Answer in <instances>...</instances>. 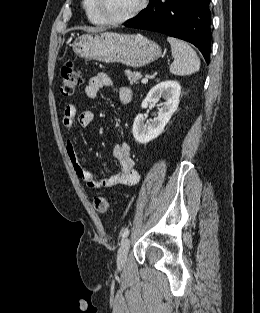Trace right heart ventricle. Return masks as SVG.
Wrapping results in <instances>:
<instances>
[{"label": "right heart ventricle", "instance_id": "e07e8e85", "mask_svg": "<svg viewBox=\"0 0 260 313\" xmlns=\"http://www.w3.org/2000/svg\"><path fill=\"white\" fill-rule=\"evenodd\" d=\"M82 6L88 20L95 25H104L105 23L98 16L94 8V0H82Z\"/></svg>", "mask_w": 260, "mask_h": 313}]
</instances>
